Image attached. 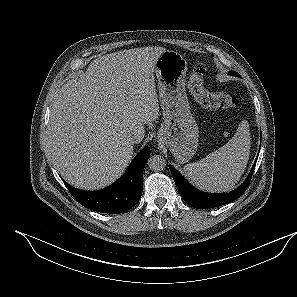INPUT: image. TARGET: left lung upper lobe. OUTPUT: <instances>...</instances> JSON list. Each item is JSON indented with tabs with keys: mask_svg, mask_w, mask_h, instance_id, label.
Listing matches in <instances>:
<instances>
[{
	"mask_svg": "<svg viewBox=\"0 0 297 297\" xmlns=\"http://www.w3.org/2000/svg\"><path fill=\"white\" fill-rule=\"evenodd\" d=\"M230 74H232V75H235V76H240L237 72H235V71H230L229 72Z\"/></svg>",
	"mask_w": 297,
	"mask_h": 297,
	"instance_id": "obj_1",
	"label": "left lung upper lobe"
}]
</instances>
